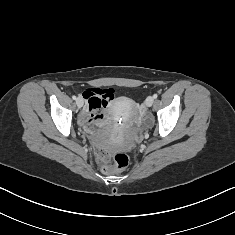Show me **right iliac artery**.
<instances>
[{"mask_svg":"<svg viewBox=\"0 0 235 235\" xmlns=\"http://www.w3.org/2000/svg\"><path fill=\"white\" fill-rule=\"evenodd\" d=\"M72 98H73L74 100H76V99H77L75 95H73V96H72Z\"/></svg>","mask_w":235,"mask_h":235,"instance_id":"obj_1","label":"right iliac artery"}]
</instances>
